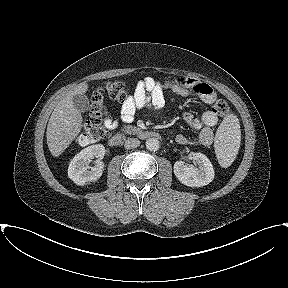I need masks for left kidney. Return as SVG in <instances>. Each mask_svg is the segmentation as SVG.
<instances>
[{
    "mask_svg": "<svg viewBox=\"0 0 288 288\" xmlns=\"http://www.w3.org/2000/svg\"><path fill=\"white\" fill-rule=\"evenodd\" d=\"M193 160L198 164V168L188 166L183 161L174 164V174L184 185L190 187H202L214 179V169L210 160L202 153H192Z\"/></svg>",
    "mask_w": 288,
    "mask_h": 288,
    "instance_id": "obj_1",
    "label": "left kidney"
}]
</instances>
